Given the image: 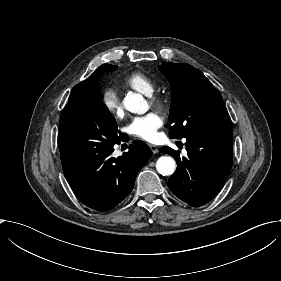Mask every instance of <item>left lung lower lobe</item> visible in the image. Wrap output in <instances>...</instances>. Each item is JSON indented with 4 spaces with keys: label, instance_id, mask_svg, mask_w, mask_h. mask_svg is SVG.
<instances>
[{
    "label": "left lung lower lobe",
    "instance_id": "left-lung-lower-lobe-1",
    "mask_svg": "<svg viewBox=\"0 0 281 281\" xmlns=\"http://www.w3.org/2000/svg\"><path fill=\"white\" fill-rule=\"evenodd\" d=\"M188 158L169 147L161 152L171 154L178 167L170 177L172 193L191 206L206 204L222 189L233 159L232 131L186 136Z\"/></svg>",
    "mask_w": 281,
    "mask_h": 281
}]
</instances>
